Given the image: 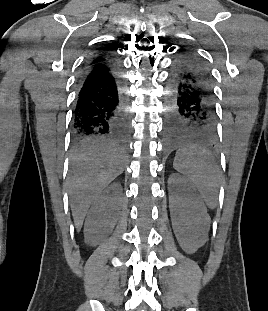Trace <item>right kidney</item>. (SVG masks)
I'll return each mask as SVG.
<instances>
[{
	"label": "right kidney",
	"mask_w": 268,
	"mask_h": 311,
	"mask_svg": "<svg viewBox=\"0 0 268 311\" xmlns=\"http://www.w3.org/2000/svg\"><path fill=\"white\" fill-rule=\"evenodd\" d=\"M122 191L119 183H113L93 202L84 224L87 244L96 246L112 232L121 211Z\"/></svg>",
	"instance_id": "obj_1"
}]
</instances>
